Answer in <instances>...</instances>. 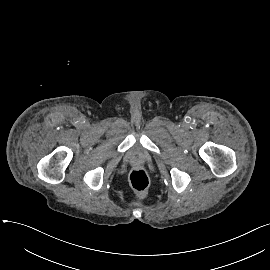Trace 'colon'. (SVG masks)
<instances>
[{
    "label": "colon",
    "mask_w": 270,
    "mask_h": 270,
    "mask_svg": "<svg viewBox=\"0 0 270 270\" xmlns=\"http://www.w3.org/2000/svg\"><path fill=\"white\" fill-rule=\"evenodd\" d=\"M131 184L140 196L144 195L148 188V179L145 172L142 170L134 171L131 176Z\"/></svg>",
    "instance_id": "1"
}]
</instances>
